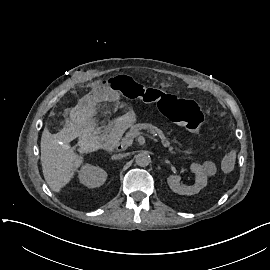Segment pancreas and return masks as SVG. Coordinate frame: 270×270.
I'll use <instances>...</instances> for the list:
<instances>
[{"instance_id": "pancreas-1", "label": "pancreas", "mask_w": 270, "mask_h": 270, "mask_svg": "<svg viewBox=\"0 0 270 270\" xmlns=\"http://www.w3.org/2000/svg\"><path fill=\"white\" fill-rule=\"evenodd\" d=\"M142 129L148 130V132H150L151 134H156L157 133L158 136L161 139L162 145L164 147H168L169 148V151L171 153H174L173 152V147L170 146V142L165 137V135L163 134V132L160 129H158L157 127L153 126L152 124H149V123H138V124H135V125L131 126L130 132L136 133V132H139V130H142Z\"/></svg>"}]
</instances>
